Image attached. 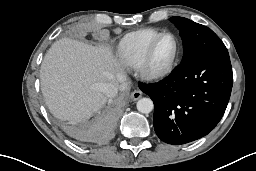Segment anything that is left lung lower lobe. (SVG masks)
Here are the masks:
<instances>
[{
    "label": "left lung lower lobe",
    "mask_w": 256,
    "mask_h": 171,
    "mask_svg": "<svg viewBox=\"0 0 256 171\" xmlns=\"http://www.w3.org/2000/svg\"><path fill=\"white\" fill-rule=\"evenodd\" d=\"M232 84L226 49L191 56L162 81L139 83V88L154 102L157 136L166 143L180 145L214 129L226 110Z\"/></svg>",
    "instance_id": "1"
}]
</instances>
